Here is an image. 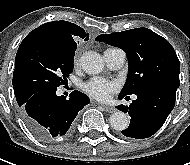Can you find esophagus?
<instances>
[{"mask_svg":"<svg viewBox=\"0 0 190 165\" xmlns=\"http://www.w3.org/2000/svg\"><path fill=\"white\" fill-rule=\"evenodd\" d=\"M103 107V109L108 112V113H113L116 111L115 108L111 107V106H107V105H101Z\"/></svg>","mask_w":190,"mask_h":165,"instance_id":"1","label":"esophagus"}]
</instances>
